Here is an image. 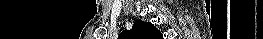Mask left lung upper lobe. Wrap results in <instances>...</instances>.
I'll return each mask as SVG.
<instances>
[{"instance_id":"1","label":"left lung upper lobe","mask_w":263,"mask_h":39,"mask_svg":"<svg viewBox=\"0 0 263 39\" xmlns=\"http://www.w3.org/2000/svg\"><path fill=\"white\" fill-rule=\"evenodd\" d=\"M162 39V34L153 24L136 20L131 30H124L118 39Z\"/></svg>"}]
</instances>
